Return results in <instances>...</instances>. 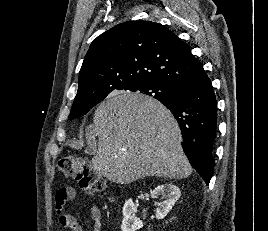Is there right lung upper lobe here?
I'll return each instance as SVG.
<instances>
[{
  "mask_svg": "<svg viewBox=\"0 0 268 231\" xmlns=\"http://www.w3.org/2000/svg\"><path fill=\"white\" fill-rule=\"evenodd\" d=\"M204 72L189 47L173 32L151 21H129L98 36L81 67L73 104L102 101L115 90L145 83L176 87Z\"/></svg>",
  "mask_w": 268,
  "mask_h": 231,
  "instance_id": "obj_1",
  "label": "right lung upper lobe"
}]
</instances>
